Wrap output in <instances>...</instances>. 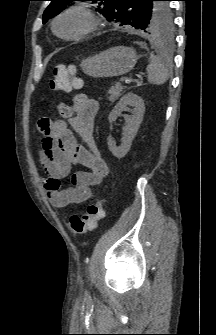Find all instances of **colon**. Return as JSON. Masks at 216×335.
I'll return each instance as SVG.
<instances>
[{"label": "colon", "mask_w": 216, "mask_h": 335, "mask_svg": "<svg viewBox=\"0 0 216 335\" xmlns=\"http://www.w3.org/2000/svg\"><path fill=\"white\" fill-rule=\"evenodd\" d=\"M76 72L77 66L74 64L56 65L52 70L50 88L54 91H69L71 88L80 87L81 80L76 76ZM102 203L101 196L90 195V203L86 213L82 215L73 214L67 219L71 232L75 235H84L94 231L104 217Z\"/></svg>", "instance_id": "1"}]
</instances>
